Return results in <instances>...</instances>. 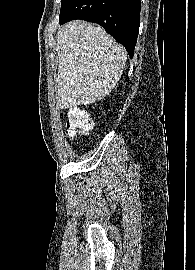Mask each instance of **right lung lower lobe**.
Here are the masks:
<instances>
[{
    "instance_id": "obj_1",
    "label": "right lung lower lobe",
    "mask_w": 195,
    "mask_h": 270,
    "mask_svg": "<svg viewBox=\"0 0 195 270\" xmlns=\"http://www.w3.org/2000/svg\"><path fill=\"white\" fill-rule=\"evenodd\" d=\"M140 0H73L59 22L81 19L104 27L133 57L139 26Z\"/></svg>"
}]
</instances>
